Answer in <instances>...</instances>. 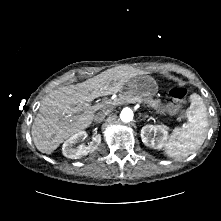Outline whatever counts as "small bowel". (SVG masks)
I'll list each match as a JSON object with an SVG mask.
<instances>
[{"instance_id": "1", "label": "small bowel", "mask_w": 221, "mask_h": 221, "mask_svg": "<svg viewBox=\"0 0 221 221\" xmlns=\"http://www.w3.org/2000/svg\"><path fill=\"white\" fill-rule=\"evenodd\" d=\"M177 109H178V105H169L167 107V111L171 113H174Z\"/></svg>"}]
</instances>
